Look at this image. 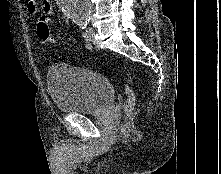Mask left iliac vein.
<instances>
[{
    "mask_svg": "<svg viewBox=\"0 0 221 174\" xmlns=\"http://www.w3.org/2000/svg\"><path fill=\"white\" fill-rule=\"evenodd\" d=\"M94 37H95V30L91 27H89L87 30H86V33H85V38L88 40V41H93L94 40Z\"/></svg>",
    "mask_w": 221,
    "mask_h": 174,
    "instance_id": "1",
    "label": "left iliac vein"
}]
</instances>
